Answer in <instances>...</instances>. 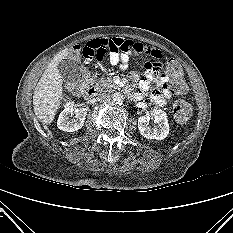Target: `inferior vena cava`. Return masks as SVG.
I'll return each instance as SVG.
<instances>
[{
    "mask_svg": "<svg viewBox=\"0 0 233 233\" xmlns=\"http://www.w3.org/2000/svg\"><path fill=\"white\" fill-rule=\"evenodd\" d=\"M110 99V96L107 94V93H99L97 96H96V100L98 102H106Z\"/></svg>",
    "mask_w": 233,
    "mask_h": 233,
    "instance_id": "obj_1",
    "label": "inferior vena cava"
}]
</instances>
